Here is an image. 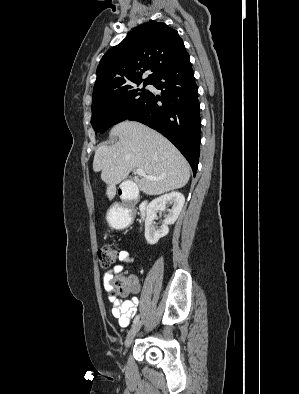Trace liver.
<instances>
[{"mask_svg": "<svg viewBox=\"0 0 299 394\" xmlns=\"http://www.w3.org/2000/svg\"><path fill=\"white\" fill-rule=\"evenodd\" d=\"M110 136L119 138L114 145H102L95 151L93 170L101 171L107 184L106 194L112 199L116 185L133 169H142L148 179L134 177L139 189L147 195H160L187 184L190 168L178 149L163 135L135 121L115 125Z\"/></svg>", "mask_w": 299, "mask_h": 394, "instance_id": "obj_1", "label": "liver"}]
</instances>
